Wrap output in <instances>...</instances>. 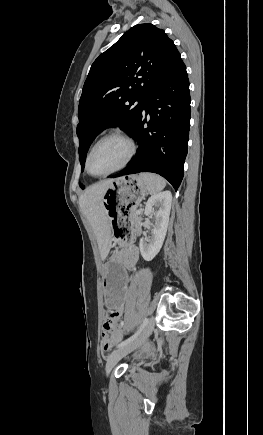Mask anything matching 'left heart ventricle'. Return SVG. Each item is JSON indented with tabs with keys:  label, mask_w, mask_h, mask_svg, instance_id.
<instances>
[{
	"label": "left heart ventricle",
	"mask_w": 263,
	"mask_h": 435,
	"mask_svg": "<svg viewBox=\"0 0 263 435\" xmlns=\"http://www.w3.org/2000/svg\"><path fill=\"white\" fill-rule=\"evenodd\" d=\"M128 148L116 138L104 140L96 146L90 157V169L95 174L107 173L120 166L126 159Z\"/></svg>",
	"instance_id": "left-heart-ventricle-1"
}]
</instances>
